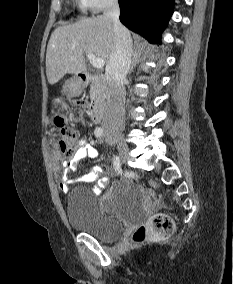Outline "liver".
<instances>
[{
  "instance_id": "6515ba94",
  "label": "liver",
  "mask_w": 233,
  "mask_h": 284,
  "mask_svg": "<svg viewBox=\"0 0 233 284\" xmlns=\"http://www.w3.org/2000/svg\"><path fill=\"white\" fill-rule=\"evenodd\" d=\"M114 39L112 21L102 15L56 28L46 52L48 82L53 85L68 73H85V53L102 58L107 65L114 50ZM138 47L143 49V44Z\"/></svg>"
}]
</instances>
